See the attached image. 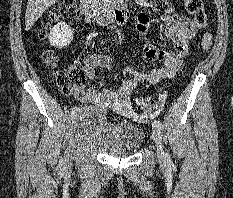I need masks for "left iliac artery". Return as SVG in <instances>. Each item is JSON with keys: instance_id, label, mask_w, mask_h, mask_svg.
I'll return each mask as SVG.
<instances>
[{"instance_id": "1", "label": "left iliac artery", "mask_w": 233, "mask_h": 198, "mask_svg": "<svg viewBox=\"0 0 233 198\" xmlns=\"http://www.w3.org/2000/svg\"><path fill=\"white\" fill-rule=\"evenodd\" d=\"M153 126L161 129L162 128V123L159 120H154L153 121ZM167 156H168V161L171 162L169 154H167Z\"/></svg>"}]
</instances>
